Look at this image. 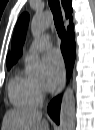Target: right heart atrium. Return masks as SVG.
Returning a JSON list of instances; mask_svg holds the SVG:
<instances>
[{
    "label": "right heart atrium",
    "instance_id": "obj_1",
    "mask_svg": "<svg viewBox=\"0 0 95 130\" xmlns=\"http://www.w3.org/2000/svg\"><path fill=\"white\" fill-rule=\"evenodd\" d=\"M36 84H37V89H38L40 95L43 97L44 94L46 93L45 85L42 82H36Z\"/></svg>",
    "mask_w": 95,
    "mask_h": 130
}]
</instances>
